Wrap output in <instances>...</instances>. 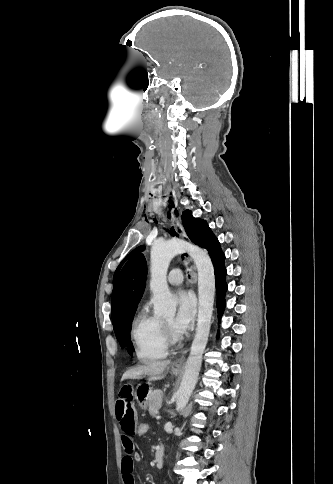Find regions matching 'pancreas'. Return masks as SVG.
<instances>
[{
  "label": "pancreas",
  "mask_w": 333,
  "mask_h": 484,
  "mask_svg": "<svg viewBox=\"0 0 333 484\" xmlns=\"http://www.w3.org/2000/svg\"><path fill=\"white\" fill-rule=\"evenodd\" d=\"M163 399V392L161 390L153 391L149 398V413L152 417H156L158 410L161 407Z\"/></svg>",
  "instance_id": "pancreas-1"
}]
</instances>
